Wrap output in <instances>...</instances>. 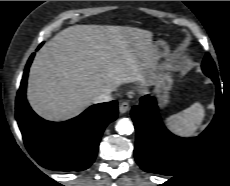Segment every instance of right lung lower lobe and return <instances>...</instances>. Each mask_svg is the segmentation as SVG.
I'll return each mask as SVG.
<instances>
[{"mask_svg": "<svg viewBox=\"0 0 230 186\" xmlns=\"http://www.w3.org/2000/svg\"><path fill=\"white\" fill-rule=\"evenodd\" d=\"M29 58L16 98V120L30 155L55 171H81L95 160L105 127L117 118V101L91 106L66 122H50L36 115L26 100Z\"/></svg>", "mask_w": 230, "mask_h": 186, "instance_id": "1", "label": "right lung lower lobe"}]
</instances>
